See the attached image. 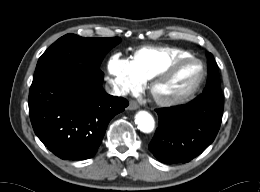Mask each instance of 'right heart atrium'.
Returning a JSON list of instances; mask_svg holds the SVG:
<instances>
[{
	"label": "right heart atrium",
	"mask_w": 260,
	"mask_h": 192,
	"mask_svg": "<svg viewBox=\"0 0 260 192\" xmlns=\"http://www.w3.org/2000/svg\"><path fill=\"white\" fill-rule=\"evenodd\" d=\"M108 71L117 88L123 92L136 91L143 84L131 61L113 55L108 61Z\"/></svg>",
	"instance_id": "1"
}]
</instances>
